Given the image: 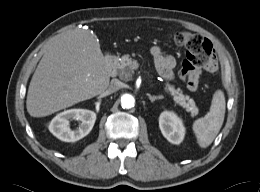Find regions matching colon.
<instances>
[{
	"instance_id": "5ec220e1",
	"label": "colon",
	"mask_w": 260,
	"mask_h": 192,
	"mask_svg": "<svg viewBox=\"0 0 260 192\" xmlns=\"http://www.w3.org/2000/svg\"><path fill=\"white\" fill-rule=\"evenodd\" d=\"M171 39L186 50V57L179 72L180 77L190 90H196L201 71L217 65L212 44L206 38L187 31L177 32L171 35Z\"/></svg>"
}]
</instances>
